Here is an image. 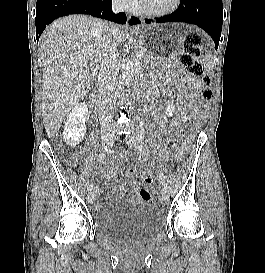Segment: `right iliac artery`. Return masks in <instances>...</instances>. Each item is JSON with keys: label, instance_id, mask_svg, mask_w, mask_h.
I'll return each instance as SVG.
<instances>
[{"label": "right iliac artery", "instance_id": "1", "mask_svg": "<svg viewBox=\"0 0 265 273\" xmlns=\"http://www.w3.org/2000/svg\"><path fill=\"white\" fill-rule=\"evenodd\" d=\"M106 153H108V149L107 148H105V150L98 155L97 161H99V162L103 161L105 159V157H106ZM87 189H88V191L91 192L92 189H93V184L92 183H88Z\"/></svg>", "mask_w": 265, "mask_h": 273}]
</instances>
